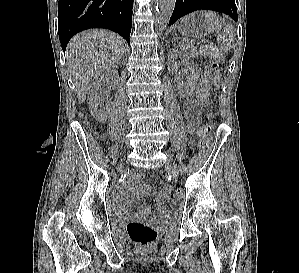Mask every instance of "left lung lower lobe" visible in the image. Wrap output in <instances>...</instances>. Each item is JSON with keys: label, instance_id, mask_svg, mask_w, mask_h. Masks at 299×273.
I'll use <instances>...</instances> for the list:
<instances>
[{"label": "left lung lower lobe", "instance_id": "1", "mask_svg": "<svg viewBox=\"0 0 299 273\" xmlns=\"http://www.w3.org/2000/svg\"><path fill=\"white\" fill-rule=\"evenodd\" d=\"M196 10H213L223 12L238 21L235 0H176L169 25L182 16Z\"/></svg>", "mask_w": 299, "mask_h": 273}]
</instances>
